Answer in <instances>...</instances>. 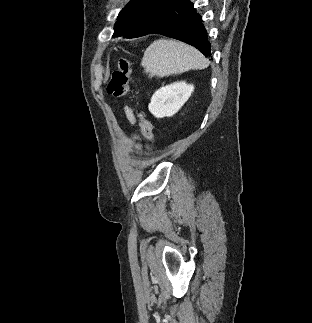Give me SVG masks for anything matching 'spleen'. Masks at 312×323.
Instances as JSON below:
<instances>
[{
  "label": "spleen",
  "instance_id": "spleen-1",
  "mask_svg": "<svg viewBox=\"0 0 312 323\" xmlns=\"http://www.w3.org/2000/svg\"><path fill=\"white\" fill-rule=\"evenodd\" d=\"M141 66L151 76H171L188 70H204L209 60L193 46L176 40H155L142 58Z\"/></svg>",
  "mask_w": 312,
  "mask_h": 323
}]
</instances>
